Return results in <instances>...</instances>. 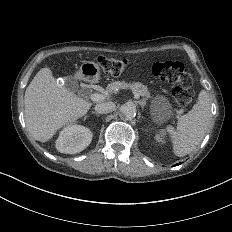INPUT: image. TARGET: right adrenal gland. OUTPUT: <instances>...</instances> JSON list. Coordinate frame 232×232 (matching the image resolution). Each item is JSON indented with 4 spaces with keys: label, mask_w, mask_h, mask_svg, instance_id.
<instances>
[{
    "label": "right adrenal gland",
    "mask_w": 232,
    "mask_h": 232,
    "mask_svg": "<svg viewBox=\"0 0 232 232\" xmlns=\"http://www.w3.org/2000/svg\"><path fill=\"white\" fill-rule=\"evenodd\" d=\"M92 114H96L97 116H99V113L96 111H92Z\"/></svg>",
    "instance_id": "1"
}]
</instances>
